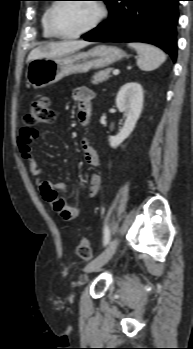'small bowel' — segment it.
Returning a JSON list of instances; mask_svg holds the SVG:
<instances>
[{
    "label": "small bowel",
    "instance_id": "obj_1",
    "mask_svg": "<svg viewBox=\"0 0 193 349\" xmlns=\"http://www.w3.org/2000/svg\"><path fill=\"white\" fill-rule=\"evenodd\" d=\"M72 98L77 102L79 121L83 125H87L91 116V104L94 98V92L90 88L80 87L73 91ZM35 138V131L26 125L23 126L17 137L20 153L27 162L30 173L37 178L39 189L45 201L51 205L62 220L72 221L82 213V208L66 198L67 189L65 184L41 180L42 169L31 147ZM82 146L85 162L91 167H98L100 160L97 151L86 139L83 140ZM101 184L102 180L99 174L91 175L88 181L86 196L88 198L96 196L100 191Z\"/></svg>",
    "mask_w": 193,
    "mask_h": 349
}]
</instances>
